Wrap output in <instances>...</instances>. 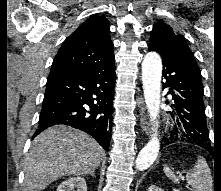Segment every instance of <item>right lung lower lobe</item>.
<instances>
[{
  "instance_id": "1",
  "label": "right lung lower lobe",
  "mask_w": 221,
  "mask_h": 191,
  "mask_svg": "<svg viewBox=\"0 0 221 191\" xmlns=\"http://www.w3.org/2000/svg\"><path fill=\"white\" fill-rule=\"evenodd\" d=\"M115 64L95 71L48 79L38 129L65 124L85 131L109 149Z\"/></svg>"
}]
</instances>
